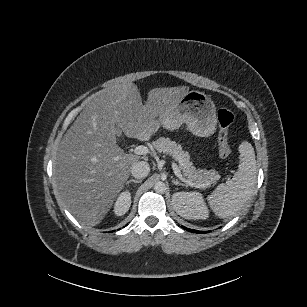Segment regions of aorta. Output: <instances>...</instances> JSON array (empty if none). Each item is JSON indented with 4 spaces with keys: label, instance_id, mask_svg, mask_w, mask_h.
<instances>
[{
    "label": "aorta",
    "instance_id": "aorta-1",
    "mask_svg": "<svg viewBox=\"0 0 307 307\" xmlns=\"http://www.w3.org/2000/svg\"><path fill=\"white\" fill-rule=\"evenodd\" d=\"M154 190L158 193H163L166 191V184L163 181H157L154 184Z\"/></svg>",
    "mask_w": 307,
    "mask_h": 307
}]
</instances>
